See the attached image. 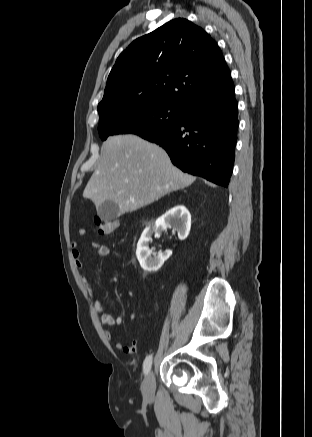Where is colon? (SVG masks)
<instances>
[{
  "label": "colon",
  "instance_id": "obj_1",
  "mask_svg": "<svg viewBox=\"0 0 312 437\" xmlns=\"http://www.w3.org/2000/svg\"><path fill=\"white\" fill-rule=\"evenodd\" d=\"M95 225L99 234L106 235L116 231L120 225V222L118 219L109 220L97 216L95 217Z\"/></svg>",
  "mask_w": 312,
  "mask_h": 437
}]
</instances>
